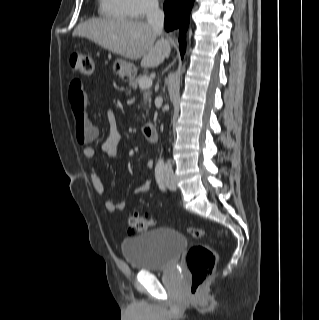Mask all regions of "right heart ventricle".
I'll return each instance as SVG.
<instances>
[{"mask_svg":"<svg viewBox=\"0 0 319 320\" xmlns=\"http://www.w3.org/2000/svg\"><path fill=\"white\" fill-rule=\"evenodd\" d=\"M99 12L115 20H127L130 17L123 0H99Z\"/></svg>","mask_w":319,"mask_h":320,"instance_id":"1","label":"right heart ventricle"}]
</instances>
